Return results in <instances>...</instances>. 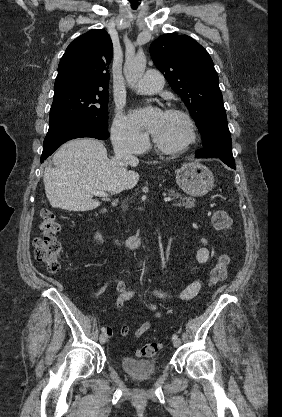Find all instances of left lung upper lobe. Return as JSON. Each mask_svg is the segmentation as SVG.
Instances as JSON below:
<instances>
[{
    "instance_id": "left-lung-upper-lobe-1",
    "label": "left lung upper lobe",
    "mask_w": 282,
    "mask_h": 417,
    "mask_svg": "<svg viewBox=\"0 0 282 417\" xmlns=\"http://www.w3.org/2000/svg\"><path fill=\"white\" fill-rule=\"evenodd\" d=\"M150 54L199 131L210 118L226 115L213 61L199 43L187 35L164 34L152 42Z\"/></svg>"
}]
</instances>
